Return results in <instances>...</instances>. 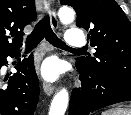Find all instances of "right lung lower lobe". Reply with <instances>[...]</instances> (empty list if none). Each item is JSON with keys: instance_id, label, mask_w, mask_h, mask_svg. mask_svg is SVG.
I'll return each instance as SVG.
<instances>
[{"instance_id": "right-lung-lower-lobe-1", "label": "right lung lower lobe", "mask_w": 131, "mask_h": 115, "mask_svg": "<svg viewBox=\"0 0 131 115\" xmlns=\"http://www.w3.org/2000/svg\"><path fill=\"white\" fill-rule=\"evenodd\" d=\"M19 57L20 51L1 55L0 68L8 62L6 58ZM7 85L0 82V114L33 115L39 98V83L33 64V55L16 67ZM6 80V79H5Z\"/></svg>"}]
</instances>
